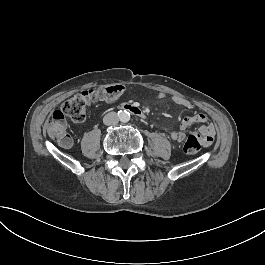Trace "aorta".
I'll return each instance as SVG.
<instances>
[{
	"label": "aorta",
	"mask_w": 265,
	"mask_h": 265,
	"mask_svg": "<svg viewBox=\"0 0 265 265\" xmlns=\"http://www.w3.org/2000/svg\"><path fill=\"white\" fill-rule=\"evenodd\" d=\"M119 120L122 123H127L130 121V113L128 111H122L119 113Z\"/></svg>",
	"instance_id": "obj_1"
}]
</instances>
